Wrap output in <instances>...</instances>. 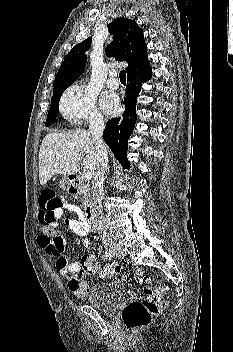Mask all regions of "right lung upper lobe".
I'll return each instance as SVG.
<instances>
[{
  "label": "right lung upper lobe",
  "instance_id": "1",
  "mask_svg": "<svg viewBox=\"0 0 233 352\" xmlns=\"http://www.w3.org/2000/svg\"><path fill=\"white\" fill-rule=\"evenodd\" d=\"M108 30L114 37L105 49L106 55L128 63L126 68L128 78L141 75L151 69L143 31L133 20L119 18L108 25ZM91 40V37L87 38L67 54L57 72L54 88L70 86L82 74L87 62L85 51L90 48Z\"/></svg>",
  "mask_w": 233,
  "mask_h": 352
}]
</instances>
